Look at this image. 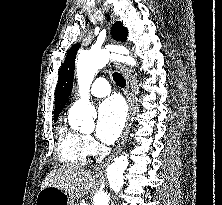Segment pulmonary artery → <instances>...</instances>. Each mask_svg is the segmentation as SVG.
I'll use <instances>...</instances> for the list:
<instances>
[{
	"label": "pulmonary artery",
	"mask_w": 222,
	"mask_h": 205,
	"mask_svg": "<svg viewBox=\"0 0 222 205\" xmlns=\"http://www.w3.org/2000/svg\"><path fill=\"white\" fill-rule=\"evenodd\" d=\"M89 92L94 97H105L110 94L111 87L106 79L97 78L93 82Z\"/></svg>",
	"instance_id": "obj_1"
}]
</instances>
